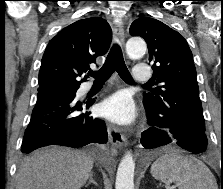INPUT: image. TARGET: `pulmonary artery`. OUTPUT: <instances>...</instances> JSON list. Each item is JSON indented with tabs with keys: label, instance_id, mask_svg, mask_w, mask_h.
Wrapping results in <instances>:
<instances>
[{
	"label": "pulmonary artery",
	"instance_id": "e3ab8cb5",
	"mask_svg": "<svg viewBox=\"0 0 223 189\" xmlns=\"http://www.w3.org/2000/svg\"><path fill=\"white\" fill-rule=\"evenodd\" d=\"M151 77L150 68L146 64H137L132 73L135 82H147Z\"/></svg>",
	"mask_w": 223,
	"mask_h": 189
}]
</instances>
